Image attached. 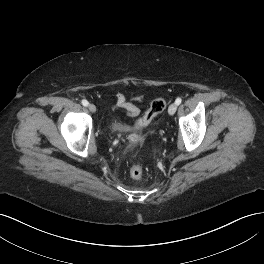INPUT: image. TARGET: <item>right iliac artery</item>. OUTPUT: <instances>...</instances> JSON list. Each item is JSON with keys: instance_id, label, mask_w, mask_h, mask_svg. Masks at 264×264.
<instances>
[{"instance_id": "82829eb1", "label": "right iliac artery", "mask_w": 264, "mask_h": 264, "mask_svg": "<svg viewBox=\"0 0 264 264\" xmlns=\"http://www.w3.org/2000/svg\"><path fill=\"white\" fill-rule=\"evenodd\" d=\"M82 105L83 106H88V101L87 100H82Z\"/></svg>"}]
</instances>
